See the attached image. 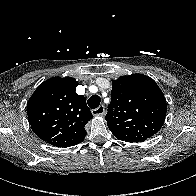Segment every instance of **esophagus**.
<instances>
[{"mask_svg": "<svg viewBox=\"0 0 196 196\" xmlns=\"http://www.w3.org/2000/svg\"><path fill=\"white\" fill-rule=\"evenodd\" d=\"M94 116H103L105 114V107L100 105L98 108L92 110Z\"/></svg>", "mask_w": 196, "mask_h": 196, "instance_id": "1", "label": "esophagus"}]
</instances>
